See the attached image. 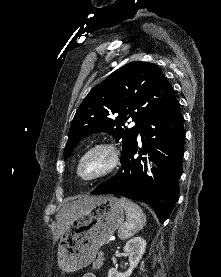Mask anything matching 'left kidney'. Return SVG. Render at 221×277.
Wrapping results in <instances>:
<instances>
[{"instance_id": "5707ae66", "label": "left kidney", "mask_w": 221, "mask_h": 277, "mask_svg": "<svg viewBox=\"0 0 221 277\" xmlns=\"http://www.w3.org/2000/svg\"><path fill=\"white\" fill-rule=\"evenodd\" d=\"M146 249V241L142 237H134L130 239L124 246V252L129 257V269L121 273L115 268H111L108 272V277H129L134 268L140 262Z\"/></svg>"}]
</instances>
